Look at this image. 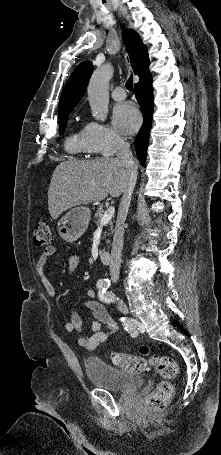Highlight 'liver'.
I'll return each instance as SVG.
<instances>
[{
	"label": "liver",
	"mask_w": 221,
	"mask_h": 455,
	"mask_svg": "<svg viewBox=\"0 0 221 455\" xmlns=\"http://www.w3.org/2000/svg\"><path fill=\"white\" fill-rule=\"evenodd\" d=\"M127 181L125 165L118 158L63 161L55 168L49 185V213L57 219L73 206L98 202L108 195L119 197Z\"/></svg>",
	"instance_id": "obj_1"
}]
</instances>
